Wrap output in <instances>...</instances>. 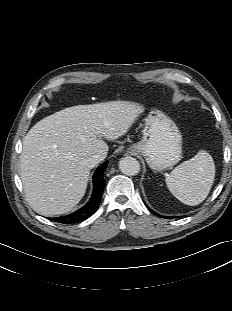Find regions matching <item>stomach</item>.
I'll use <instances>...</instances> for the list:
<instances>
[{
	"label": "stomach",
	"mask_w": 232,
	"mask_h": 311,
	"mask_svg": "<svg viewBox=\"0 0 232 311\" xmlns=\"http://www.w3.org/2000/svg\"><path fill=\"white\" fill-rule=\"evenodd\" d=\"M141 141L131 145V152L142 155L154 171L177 164L182 157V135L166 114L152 110L145 118Z\"/></svg>",
	"instance_id": "0dacf381"
}]
</instances>
